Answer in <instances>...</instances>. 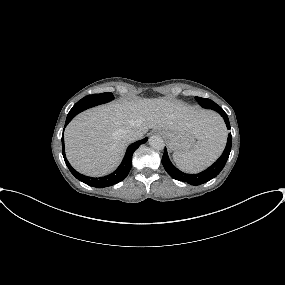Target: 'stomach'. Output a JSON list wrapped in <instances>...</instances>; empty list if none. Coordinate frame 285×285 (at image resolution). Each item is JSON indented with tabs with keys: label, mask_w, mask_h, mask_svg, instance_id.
Wrapping results in <instances>:
<instances>
[{
	"label": "stomach",
	"mask_w": 285,
	"mask_h": 285,
	"mask_svg": "<svg viewBox=\"0 0 285 285\" xmlns=\"http://www.w3.org/2000/svg\"><path fill=\"white\" fill-rule=\"evenodd\" d=\"M161 134L168 142L172 151L186 152L196 144L195 136L189 132H175L170 130H161Z\"/></svg>",
	"instance_id": "stomach-1"
}]
</instances>
